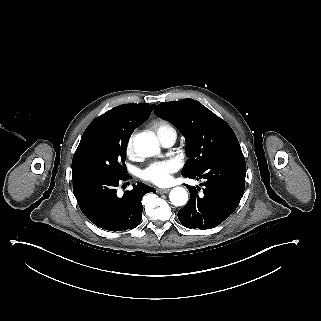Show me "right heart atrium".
Instances as JSON below:
<instances>
[{"label": "right heart atrium", "mask_w": 321, "mask_h": 321, "mask_svg": "<svg viewBox=\"0 0 321 321\" xmlns=\"http://www.w3.org/2000/svg\"><path fill=\"white\" fill-rule=\"evenodd\" d=\"M126 154L129 157H133L136 154L135 146H134V133H131L127 139L125 146Z\"/></svg>", "instance_id": "right-heart-atrium-1"}]
</instances>
